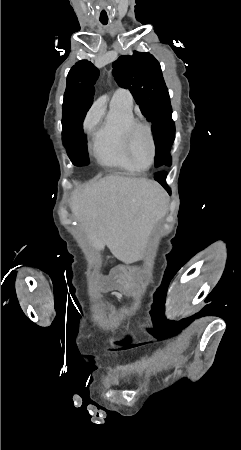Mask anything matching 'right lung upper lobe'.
Listing matches in <instances>:
<instances>
[{"mask_svg":"<svg viewBox=\"0 0 241 450\" xmlns=\"http://www.w3.org/2000/svg\"><path fill=\"white\" fill-rule=\"evenodd\" d=\"M79 74H92V75H99L98 69L94 67V65L87 61L82 60L77 62L69 71L67 79L73 78Z\"/></svg>","mask_w":241,"mask_h":450,"instance_id":"obj_1","label":"right lung upper lobe"}]
</instances>
